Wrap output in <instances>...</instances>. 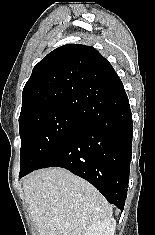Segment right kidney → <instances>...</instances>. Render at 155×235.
<instances>
[{
	"mask_svg": "<svg viewBox=\"0 0 155 235\" xmlns=\"http://www.w3.org/2000/svg\"><path fill=\"white\" fill-rule=\"evenodd\" d=\"M116 221L114 218H106L92 224L83 235H114Z\"/></svg>",
	"mask_w": 155,
	"mask_h": 235,
	"instance_id": "ca27d5eb",
	"label": "right kidney"
}]
</instances>
